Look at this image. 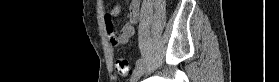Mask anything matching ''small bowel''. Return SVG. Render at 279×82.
Returning <instances> with one entry per match:
<instances>
[{
	"instance_id": "1",
	"label": "small bowel",
	"mask_w": 279,
	"mask_h": 82,
	"mask_svg": "<svg viewBox=\"0 0 279 82\" xmlns=\"http://www.w3.org/2000/svg\"><path fill=\"white\" fill-rule=\"evenodd\" d=\"M141 8L140 0H132L129 7V19L124 26L117 32L114 28L112 19L120 14V7L114 6L105 16V26L112 46H119L126 43L134 34L135 22L139 16Z\"/></svg>"
}]
</instances>
